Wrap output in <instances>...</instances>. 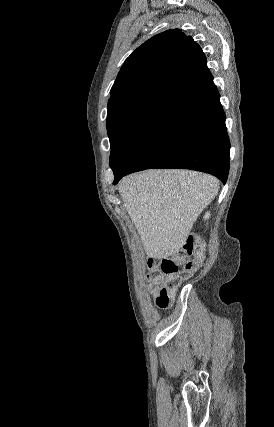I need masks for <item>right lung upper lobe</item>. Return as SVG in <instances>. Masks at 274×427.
I'll use <instances>...</instances> for the list:
<instances>
[{"mask_svg": "<svg viewBox=\"0 0 274 427\" xmlns=\"http://www.w3.org/2000/svg\"><path fill=\"white\" fill-rule=\"evenodd\" d=\"M201 48L179 29L157 34L126 60L111 88L108 111L141 97L160 94L175 102L212 81Z\"/></svg>", "mask_w": 274, "mask_h": 427, "instance_id": "obj_1", "label": "right lung upper lobe"}]
</instances>
